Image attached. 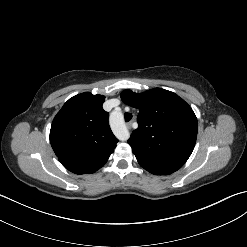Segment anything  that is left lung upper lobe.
<instances>
[{
	"label": "left lung upper lobe",
	"mask_w": 247,
	"mask_h": 247,
	"mask_svg": "<svg viewBox=\"0 0 247 247\" xmlns=\"http://www.w3.org/2000/svg\"><path fill=\"white\" fill-rule=\"evenodd\" d=\"M121 99L139 109V126L128 140L139 164L155 175H169L181 168L194 149L198 131L191 107L161 88L140 94L124 90Z\"/></svg>",
	"instance_id": "5c2ea615"
}]
</instances>
